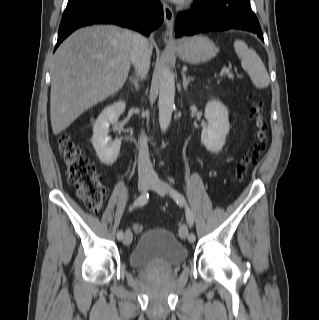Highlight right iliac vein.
I'll use <instances>...</instances> for the list:
<instances>
[{
  "label": "right iliac vein",
  "mask_w": 319,
  "mask_h": 320,
  "mask_svg": "<svg viewBox=\"0 0 319 320\" xmlns=\"http://www.w3.org/2000/svg\"><path fill=\"white\" fill-rule=\"evenodd\" d=\"M150 184H151V179H150V178H148V177H142V178H140L139 181H138V190H139L140 192H145V191L148 189V187H149ZM131 242H132V233H131V231L128 229V230H126V232H125V235H124V238H123V244L126 245V246H128V245L131 244Z\"/></svg>",
  "instance_id": "obj_1"
}]
</instances>
